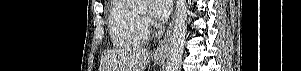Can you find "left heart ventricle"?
Returning a JSON list of instances; mask_svg holds the SVG:
<instances>
[{
	"instance_id": "left-heart-ventricle-1",
	"label": "left heart ventricle",
	"mask_w": 301,
	"mask_h": 71,
	"mask_svg": "<svg viewBox=\"0 0 301 71\" xmlns=\"http://www.w3.org/2000/svg\"><path fill=\"white\" fill-rule=\"evenodd\" d=\"M139 9L142 10V11H146V5L145 4H141L139 5Z\"/></svg>"
}]
</instances>
